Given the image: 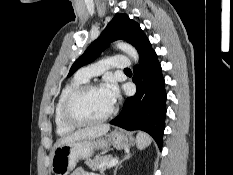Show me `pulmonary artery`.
<instances>
[{"label":"pulmonary artery","mask_w":233,"mask_h":175,"mask_svg":"<svg viewBox=\"0 0 233 175\" xmlns=\"http://www.w3.org/2000/svg\"><path fill=\"white\" fill-rule=\"evenodd\" d=\"M130 66L131 62L125 55H113L107 59L98 61L79 69L77 76L87 81L91 77L101 74L108 68L126 69Z\"/></svg>","instance_id":"1"}]
</instances>
